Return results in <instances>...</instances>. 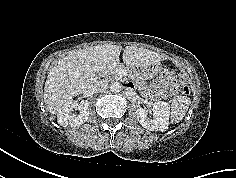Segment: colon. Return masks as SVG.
I'll return each mask as SVG.
<instances>
[{"mask_svg": "<svg viewBox=\"0 0 236 178\" xmlns=\"http://www.w3.org/2000/svg\"><path fill=\"white\" fill-rule=\"evenodd\" d=\"M174 73H175V72H174L173 69H167V68H165V69H163V71H162V76H163L164 78H166V79H169L171 76L174 75ZM189 92H190V89H189L188 84L184 85V86L182 87V93H183V94H189Z\"/></svg>", "mask_w": 236, "mask_h": 178, "instance_id": "1", "label": "colon"}]
</instances>
